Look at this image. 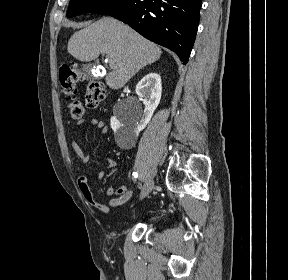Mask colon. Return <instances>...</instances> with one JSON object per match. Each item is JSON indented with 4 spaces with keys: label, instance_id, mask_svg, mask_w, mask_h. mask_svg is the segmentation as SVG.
<instances>
[{
    "label": "colon",
    "instance_id": "5ec220e1",
    "mask_svg": "<svg viewBox=\"0 0 288 280\" xmlns=\"http://www.w3.org/2000/svg\"><path fill=\"white\" fill-rule=\"evenodd\" d=\"M59 80L62 89L66 95L71 98L68 105L69 113L73 119L79 120L83 117L84 107L77 100V83L81 80H87L85 93V104L89 108H96L105 97V87L103 83L88 80L82 73L65 66L60 69Z\"/></svg>",
    "mask_w": 288,
    "mask_h": 280
}]
</instances>
